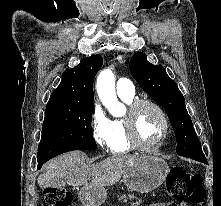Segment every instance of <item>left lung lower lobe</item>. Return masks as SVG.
I'll use <instances>...</instances> for the list:
<instances>
[{"mask_svg":"<svg viewBox=\"0 0 221 206\" xmlns=\"http://www.w3.org/2000/svg\"><path fill=\"white\" fill-rule=\"evenodd\" d=\"M194 160H197V161H200V162H203V163H207V160L205 157L203 158H198V159H194Z\"/></svg>","mask_w":221,"mask_h":206,"instance_id":"left-lung-lower-lobe-1","label":"left lung lower lobe"}]
</instances>
